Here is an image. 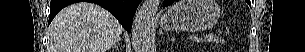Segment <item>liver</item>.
I'll return each instance as SVG.
<instances>
[{"mask_svg":"<svg viewBox=\"0 0 305 52\" xmlns=\"http://www.w3.org/2000/svg\"><path fill=\"white\" fill-rule=\"evenodd\" d=\"M123 28L106 9L86 2L65 7L53 19L48 52H106Z\"/></svg>","mask_w":305,"mask_h":52,"instance_id":"1","label":"liver"}]
</instances>
